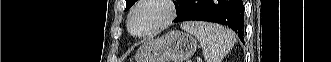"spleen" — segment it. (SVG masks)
I'll use <instances>...</instances> for the list:
<instances>
[{
	"instance_id": "spleen-1",
	"label": "spleen",
	"mask_w": 331,
	"mask_h": 62,
	"mask_svg": "<svg viewBox=\"0 0 331 62\" xmlns=\"http://www.w3.org/2000/svg\"><path fill=\"white\" fill-rule=\"evenodd\" d=\"M181 28L198 39L205 62H221L235 43L234 33L217 24L190 21L182 23Z\"/></svg>"
}]
</instances>
